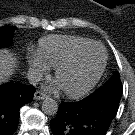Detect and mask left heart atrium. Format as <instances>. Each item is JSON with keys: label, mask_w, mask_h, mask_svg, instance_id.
<instances>
[{"label": "left heart atrium", "mask_w": 135, "mask_h": 135, "mask_svg": "<svg viewBox=\"0 0 135 135\" xmlns=\"http://www.w3.org/2000/svg\"><path fill=\"white\" fill-rule=\"evenodd\" d=\"M62 88L61 84L59 83V81H55L53 82L51 85L48 86L49 90H53V91H57L60 90Z\"/></svg>", "instance_id": "39dd6f15"}]
</instances>
